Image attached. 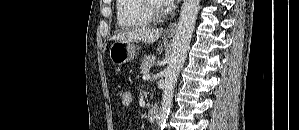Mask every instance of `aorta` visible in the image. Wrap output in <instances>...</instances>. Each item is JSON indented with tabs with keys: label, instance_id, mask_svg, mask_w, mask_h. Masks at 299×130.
I'll list each match as a JSON object with an SVG mask.
<instances>
[{
	"label": "aorta",
	"instance_id": "aorta-1",
	"mask_svg": "<svg viewBox=\"0 0 299 130\" xmlns=\"http://www.w3.org/2000/svg\"><path fill=\"white\" fill-rule=\"evenodd\" d=\"M199 2L200 0H184L181 7L172 54L165 70V86L158 117V128L161 130L165 127L166 120L172 106L175 83L187 56V51L189 49L197 19Z\"/></svg>",
	"mask_w": 299,
	"mask_h": 130
}]
</instances>
